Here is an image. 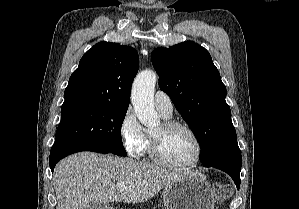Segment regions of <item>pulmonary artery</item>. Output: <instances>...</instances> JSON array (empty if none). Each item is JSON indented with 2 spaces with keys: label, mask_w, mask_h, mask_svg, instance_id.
Masks as SVG:
<instances>
[{
  "label": "pulmonary artery",
  "mask_w": 299,
  "mask_h": 209,
  "mask_svg": "<svg viewBox=\"0 0 299 209\" xmlns=\"http://www.w3.org/2000/svg\"><path fill=\"white\" fill-rule=\"evenodd\" d=\"M154 105L165 118H170L173 112V104L170 97L163 91H157L154 95Z\"/></svg>",
  "instance_id": "pulmonary-artery-1"
}]
</instances>
